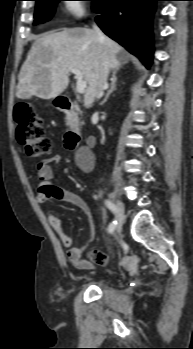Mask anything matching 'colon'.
<instances>
[{
	"label": "colon",
	"instance_id": "1",
	"mask_svg": "<svg viewBox=\"0 0 193 349\" xmlns=\"http://www.w3.org/2000/svg\"><path fill=\"white\" fill-rule=\"evenodd\" d=\"M14 125L16 139L28 155L39 157L51 150L52 144L45 134L43 121L31 105H16Z\"/></svg>",
	"mask_w": 193,
	"mask_h": 349
}]
</instances>
